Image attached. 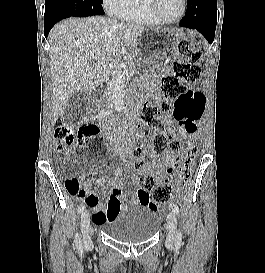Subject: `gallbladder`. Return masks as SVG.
I'll list each match as a JSON object with an SVG mask.
<instances>
[{
	"mask_svg": "<svg viewBox=\"0 0 265 273\" xmlns=\"http://www.w3.org/2000/svg\"><path fill=\"white\" fill-rule=\"evenodd\" d=\"M88 107L89 96L84 92L75 93L68 100L61 118L65 123H76L85 115Z\"/></svg>",
	"mask_w": 265,
	"mask_h": 273,
	"instance_id": "obj_1",
	"label": "gallbladder"
}]
</instances>
